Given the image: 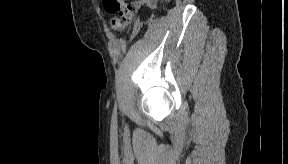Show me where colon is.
<instances>
[{
  "mask_svg": "<svg viewBox=\"0 0 288 164\" xmlns=\"http://www.w3.org/2000/svg\"><path fill=\"white\" fill-rule=\"evenodd\" d=\"M105 5L110 13L116 14L108 20L109 27L113 31H121L131 22L135 14L134 6L126 0H105Z\"/></svg>",
  "mask_w": 288,
  "mask_h": 164,
  "instance_id": "obj_1",
  "label": "colon"
}]
</instances>
